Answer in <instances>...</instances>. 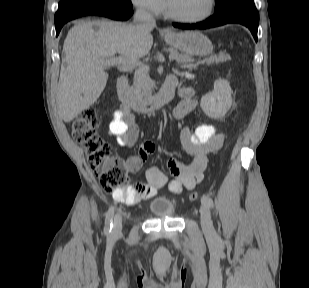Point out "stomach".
<instances>
[{
	"label": "stomach",
	"mask_w": 309,
	"mask_h": 288,
	"mask_svg": "<svg viewBox=\"0 0 309 288\" xmlns=\"http://www.w3.org/2000/svg\"><path fill=\"white\" fill-rule=\"evenodd\" d=\"M164 39L186 55L206 56L213 51L211 41L199 31L172 32L164 35Z\"/></svg>",
	"instance_id": "stomach-1"
}]
</instances>
